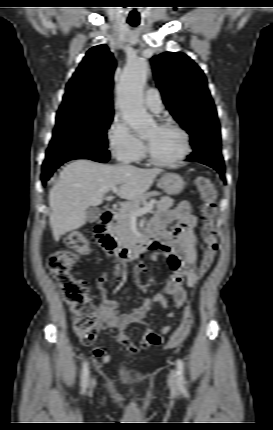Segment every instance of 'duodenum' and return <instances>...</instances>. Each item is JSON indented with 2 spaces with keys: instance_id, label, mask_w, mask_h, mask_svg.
<instances>
[{
  "instance_id": "410a0bca",
  "label": "duodenum",
  "mask_w": 273,
  "mask_h": 430,
  "mask_svg": "<svg viewBox=\"0 0 273 430\" xmlns=\"http://www.w3.org/2000/svg\"><path fill=\"white\" fill-rule=\"evenodd\" d=\"M114 216V209L105 210L94 229L97 241L105 249L109 257L124 265L134 260L138 255L153 249L155 238L150 233L140 235L129 244L118 247L110 233V223Z\"/></svg>"
}]
</instances>
